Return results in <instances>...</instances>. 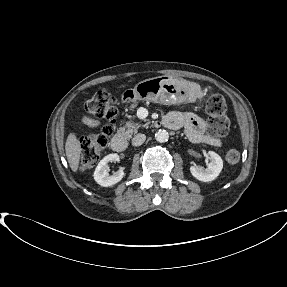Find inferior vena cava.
Instances as JSON below:
<instances>
[{
	"label": "inferior vena cava",
	"mask_w": 287,
	"mask_h": 287,
	"mask_svg": "<svg viewBox=\"0 0 287 287\" xmlns=\"http://www.w3.org/2000/svg\"><path fill=\"white\" fill-rule=\"evenodd\" d=\"M145 140H146L145 134L139 133L133 137L132 145L133 146H140L144 143Z\"/></svg>",
	"instance_id": "1"
}]
</instances>
